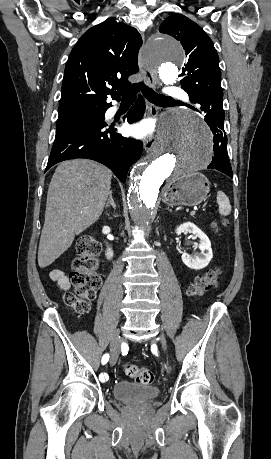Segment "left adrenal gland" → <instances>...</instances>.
I'll use <instances>...</instances> for the list:
<instances>
[{
	"mask_svg": "<svg viewBox=\"0 0 271 459\" xmlns=\"http://www.w3.org/2000/svg\"><path fill=\"white\" fill-rule=\"evenodd\" d=\"M166 210H169V208H166ZM169 212H171V210H169Z\"/></svg>",
	"mask_w": 271,
	"mask_h": 459,
	"instance_id": "a2214340",
	"label": "left adrenal gland"
}]
</instances>
